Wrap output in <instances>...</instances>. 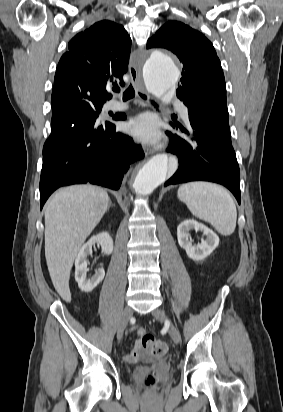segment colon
<instances>
[{
  "mask_svg": "<svg viewBox=\"0 0 283 412\" xmlns=\"http://www.w3.org/2000/svg\"><path fill=\"white\" fill-rule=\"evenodd\" d=\"M141 344L144 349L154 356H163L168 351V346L165 342L155 339L148 334L142 336ZM144 384L148 390H153L156 384L155 378L152 375L147 376Z\"/></svg>",
  "mask_w": 283,
  "mask_h": 412,
  "instance_id": "5ec220e1",
  "label": "colon"
}]
</instances>
